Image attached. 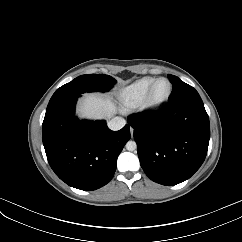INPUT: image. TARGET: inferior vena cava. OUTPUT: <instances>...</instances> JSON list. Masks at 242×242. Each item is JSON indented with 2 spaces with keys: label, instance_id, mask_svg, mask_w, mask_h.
I'll return each instance as SVG.
<instances>
[{
  "label": "inferior vena cava",
  "instance_id": "inferior-vena-cava-1",
  "mask_svg": "<svg viewBox=\"0 0 242 242\" xmlns=\"http://www.w3.org/2000/svg\"><path fill=\"white\" fill-rule=\"evenodd\" d=\"M126 124V121L122 117H114L108 122V127L111 130L117 131L123 128Z\"/></svg>",
  "mask_w": 242,
  "mask_h": 242
}]
</instances>
